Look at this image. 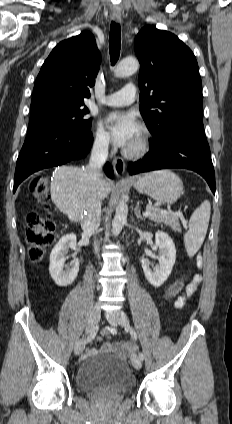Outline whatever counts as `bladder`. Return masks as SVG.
<instances>
[{"mask_svg": "<svg viewBox=\"0 0 232 424\" xmlns=\"http://www.w3.org/2000/svg\"><path fill=\"white\" fill-rule=\"evenodd\" d=\"M77 386L87 392L108 390L124 393L133 388L135 377L126 359L113 356H93L79 366Z\"/></svg>", "mask_w": 232, "mask_h": 424, "instance_id": "1", "label": "bladder"}]
</instances>
